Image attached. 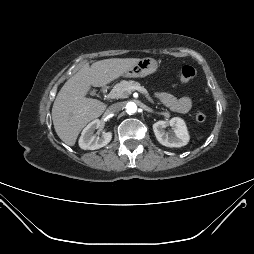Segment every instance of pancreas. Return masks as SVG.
<instances>
[{"label": "pancreas", "mask_w": 254, "mask_h": 254, "mask_svg": "<svg viewBox=\"0 0 254 254\" xmlns=\"http://www.w3.org/2000/svg\"><path fill=\"white\" fill-rule=\"evenodd\" d=\"M140 86V83L133 80L121 81L117 83L111 90L109 96L113 99L127 98L132 91L131 88Z\"/></svg>", "instance_id": "1"}]
</instances>
